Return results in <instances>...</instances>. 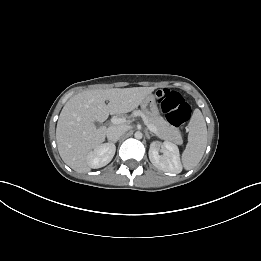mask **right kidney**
I'll use <instances>...</instances> for the list:
<instances>
[{"label": "right kidney", "instance_id": "ca27d5eb", "mask_svg": "<svg viewBox=\"0 0 261 261\" xmlns=\"http://www.w3.org/2000/svg\"><path fill=\"white\" fill-rule=\"evenodd\" d=\"M116 147L113 143L98 145L88 155L87 164L90 168L98 169L106 166L114 157Z\"/></svg>", "mask_w": 261, "mask_h": 261}]
</instances>
